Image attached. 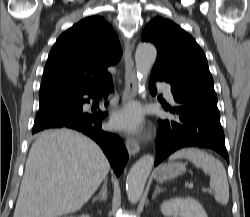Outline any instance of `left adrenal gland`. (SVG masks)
<instances>
[{
    "label": "left adrenal gland",
    "instance_id": "left-adrenal-gland-1",
    "mask_svg": "<svg viewBox=\"0 0 250 217\" xmlns=\"http://www.w3.org/2000/svg\"><path fill=\"white\" fill-rule=\"evenodd\" d=\"M165 189L164 188H160L158 185L155 187V191H154V194H153V197L152 199H154L159 193L161 192H164Z\"/></svg>",
    "mask_w": 250,
    "mask_h": 217
}]
</instances>
